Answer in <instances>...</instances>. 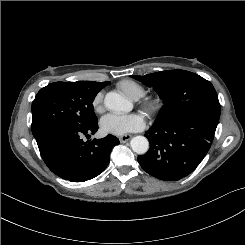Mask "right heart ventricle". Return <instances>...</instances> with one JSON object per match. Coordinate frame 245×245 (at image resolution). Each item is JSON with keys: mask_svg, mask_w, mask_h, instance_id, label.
Listing matches in <instances>:
<instances>
[{"mask_svg": "<svg viewBox=\"0 0 245 245\" xmlns=\"http://www.w3.org/2000/svg\"><path fill=\"white\" fill-rule=\"evenodd\" d=\"M117 87L121 90L127 97L131 99H138L144 95V88L138 83L132 80H121L117 83Z\"/></svg>", "mask_w": 245, "mask_h": 245, "instance_id": "right-heart-ventricle-1", "label": "right heart ventricle"}]
</instances>
